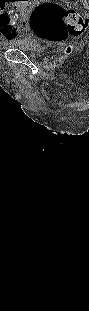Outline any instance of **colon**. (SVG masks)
<instances>
[{
	"instance_id": "obj_1",
	"label": "colon",
	"mask_w": 89,
	"mask_h": 311,
	"mask_svg": "<svg viewBox=\"0 0 89 311\" xmlns=\"http://www.w3.org/2000/svg\"><path fill=\"white\" fill-rule=\"evenodd\" d=\"M12 16L13 11H6L1 19L15 31L22 29V24L16 25L12 22ZM29 25L32 32L40 38L48 41H63L68 36L81 35L87 27V18L77 9L46 1L34 8ZM67 50L70 48L68 47Z\"/></svg>"
}]
</instances>
